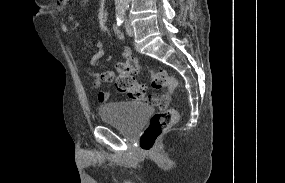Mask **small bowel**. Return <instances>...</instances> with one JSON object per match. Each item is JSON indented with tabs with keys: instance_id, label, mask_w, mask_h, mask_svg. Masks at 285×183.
<instances>
[{
	"instance_id": "obj_1",
	"label": "small bowel",
	"mask_w": 285,
	"mask_h": 183,
	"mask_svg": "<svg viewBox=\"0 0 285 183\" xmlns=\"http://www.w3.org/2000/svg\"><path fill=\"white\" fill-rule=\"evenodd\" d=\"M67 1L69 0H66L62 3H66ZM64 7V4L60 5L58 7V11H63ZM60 27L62 32L69 33L70 28L67 23L62 22ZM114 31L118 34L119 39L124 42V37L122 34H120L119 28L117 26L114 27ZM95 46L96 51L91 57L90 61L86 64L87 68H92L105 55V46L102 42H97ZM122 55L124 59H128L131 57V50L129 49V47H124ZM90 76L93 79V86L99 90L97 95L99 102L105 103L108 100V92L103 88V85L105 83H110L113 81L115 77V72L112 70H107L103 72L93 71L90 73Z\"/></svg>"
}]
</instances>
